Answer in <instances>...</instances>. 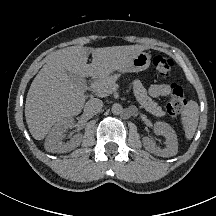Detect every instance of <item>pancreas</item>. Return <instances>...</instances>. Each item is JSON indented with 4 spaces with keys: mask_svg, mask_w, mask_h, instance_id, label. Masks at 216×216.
<instances>
[{
    "mask_svg": "<svg viewBox=\"0 0 216 216\" xmlns=\"http://www.w3.org/2000/svg\"><path fill=\"white\" fill-rule=\"evenodd\" d=\"M117 79L118 75L101 76L92 84V90L98 96H107L115 90ZM133 85L134 95L142 108L158 117L165 114L162 108L147 95L146 89L139 80H135Z\"/></svg>",
    "mask_w": 216,
    "mask_h": 216,
    "instance_id": "pancreas-1",
    "label": "pancreas"
}]
</instances>
